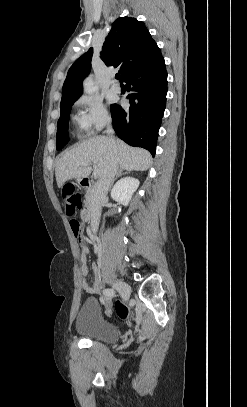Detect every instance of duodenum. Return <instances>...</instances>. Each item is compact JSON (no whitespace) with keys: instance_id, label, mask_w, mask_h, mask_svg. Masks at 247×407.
<instances>
[{"instance_id":"410a0bca","label":"duodenum","mask_w":247,"mask_h":407,"mask_svg":"<svg viewBox=\"0 0 247 407\" xmlns=\"http://www.w3.org/2000/svg\"><path fill=\"white\" fill-rule=\"evenodd\" d=\"M81 185L88 190H92L94 187V181L89 178H83L81 180ZM97 211V205L94 202H88L81 212V218L84 222H89L93 219Z\"/></svg>"}]
</instances>
